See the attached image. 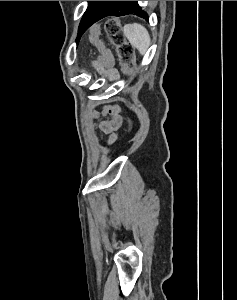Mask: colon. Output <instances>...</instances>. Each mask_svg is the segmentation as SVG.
Instances as JSON below:
<instances>
[{
	"label": "colon",
	"mask_w": 237,
	"mask_h": 300,
	"mask_svg": "<svg viewBox=\"0 0 237 300\" xmlns=\"http://www.w3.org/2000/svg\"><path fill=\"white\" fill-rule=\"evenodd\" d=\"M104 29L109 42L115 49L123 73L126 76H130L134 67V49L126 40L119 19L110 18L106 21ZM100 35V28L97 25L92 26L90 30V40L101 50V56L97 64L101 67H108L112 62V58L110 52L103 46ZM128 126L129 129H131L132 123L130 119H128Z\"/></svg>",
	"instance_id": "colon-1"
}]
</instances>
